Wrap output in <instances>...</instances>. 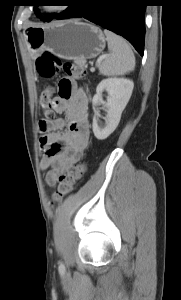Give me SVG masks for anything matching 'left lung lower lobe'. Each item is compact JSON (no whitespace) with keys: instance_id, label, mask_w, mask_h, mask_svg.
Masks as SVG:
<instances>
[{"instance_id":"1","label":"left lung lower lobe","mask_w":181,"mask_h":300,"mask_svg":"<svg viewBox=\"0 0 181 300\" xmlns=\"http://www.w3.org/2000/svg\"><path fill=\"white\" fill-rule=\"evenodd\" d=\"M145 10L143 0H78V4L70 5L56 19L84 17L123 36L143 56Z\"/></svg>"}]
</instances>
